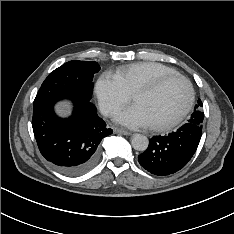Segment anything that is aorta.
<instances>
[{
	"label": "aorta",
	"mask_w": 234,
	"mask_h": 234,
	"mask_svg": "<svg viewBox=\"0 0 234 234\" xmlns=\"http://www.w3.org/2000/svg\"><path fill=\"white\" fill-rule=\"evenodd\" d=\"M148 144V138L142 134H135L131 139L132 147L138 151H145L148 147Z\"/></svg>",
	"instance_id": "1"
}]
</instances>
